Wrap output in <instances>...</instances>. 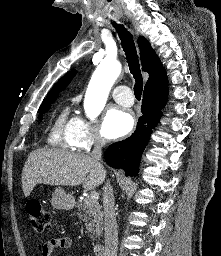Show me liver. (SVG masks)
<instances>
[{
    "instance_id": "obj_1",
    "label": "liver",
    "mask_w": 221,
    "mask_h": 256,
    "mask_svg": "<svg viewBox=\"0 0 221 256\" xmlns=\"http://www.w3.org/2000/svg\"><path fill=\"white\" fill-rule=\"evenodd\" d=\"M104 179L103 171L89 155L61 149H37L29 154L23 167L22 189L28 197L37 184L78 186L83 183L85 189H93Z\"/></svg>"
}]
</instances>
